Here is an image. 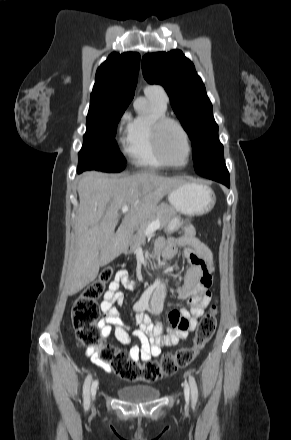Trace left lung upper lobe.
Masks as SVG:
<instances>
[{"mask_svg":"<svg viewBox=\"0 0 291 440\" xmlns=\"http://www.w3.org/2000/svg\"><path fill=\"white\" fill-rule=\"evenodd\" d=\"M142 71L148 83L162 85L170 96L171 106L191 139L196 173L222 158L212 104L193 63L182 51L146 54Z\"/></svg>","mask_w":291,"mask_h":440,"instance_id":"left-lung-upper-lobe-1","label":"left lung upper lobe"}]
</instances>
